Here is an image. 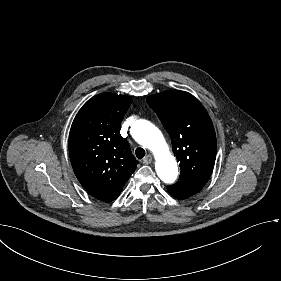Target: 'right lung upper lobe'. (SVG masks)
I'll list each match as a JSON object with an SVG mask.
<instances>
[{
    "instance_id": "1",
    "label": "right lung upper lobe",
    "mask_w": 281,
    "mask_h": 281,
    "mask_svg": "<svg viewBox=\"0 0 281 281\" xmlns=\"http://www.w3.org/2000/svg\"><path fill=\"white\" fill-rule=\"evenodd\" d=\"M131 101L126 95H96L83 105L72 123L69 156L74 173L98 200H112L137 167L126 138L120 135V124Z\"/></svg>"
}]
</instances>
